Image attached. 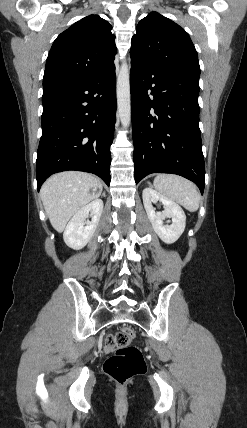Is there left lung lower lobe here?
I'll list each match as a JSON object with an SVG mask.
<instances>
[{"instance_id":"obj_1","label":"left lung lower lobe","mask_w":247,"mask_h":428,"mask_svg":"<svg viewBox=\"0 0 247 428\" xmlns=\"http://www.w3.org/2000/svg\"><path fill=\"white\" fill-rule=\"evenodd\" d=\"M131 113L136 184L151 173H172L204 191L199 89L131 59Z\"/></svg>"}]
</instances>
